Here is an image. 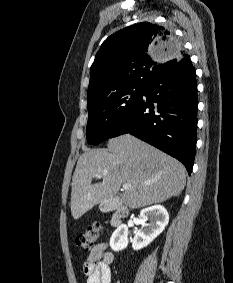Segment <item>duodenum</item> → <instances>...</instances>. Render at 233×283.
I'll return each mask as SVG.
<instances>
[{
	"label": "duodenum",
	"mask_w": 233,
	"mask_h": 283,
	"mask_svg": "<svg viewBox=\"0 0 233 283\" xmlns=\"http://www.w3.org/2000/svg\"><path fill=\"white\" fill-rule=\"evenodd\" d=\"M104 209L107 211H113L111 224L114 227L120 226L123 219L126 218L129 214V210L126 206L114 201L108 202L105 205Z\"/></svg>",
	"instance_id": "obj_1"
}]
</instances>
